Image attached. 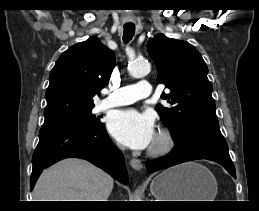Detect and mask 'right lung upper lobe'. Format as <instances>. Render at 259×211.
<instances>
[{
	"label": "right lung upper lobe",
	"mask_w": 259,
	"mask_h": 211,
	"mask_svg": "<svg viewBox=\"0 0 259 211\" xmlns=\"http://www.w3.org/2000/svg\"><path fill=\"white\" fill-rule=\"evenodd\" d=\"M114 66V53L96 37L68 48L49 76L44 124L92 110V98L108 83Z\"/></svg>",
	"instance_id": "obj_1"
}]
</instances>
